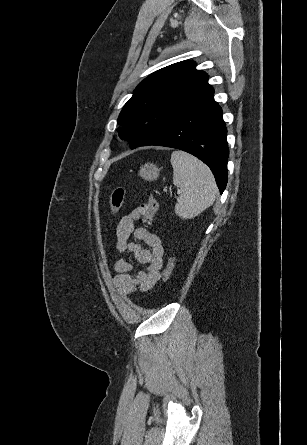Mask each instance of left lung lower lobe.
<instances>
[{
  "mask_svg": "<svg viewBox=\"0 0 307 445\" xmlns=\"http://www.w3.org/2000/svg\"><path fill=\"white\" fill-rule=\"evenodd\" d=\"M227 129L213 94L173 119L139 146L177 148L201 159L212 170L220 193L227 184Z\"/></svg>",
  "mask_w": 307,
  "mask_h": 445,
  "instance_id": "obj_1",
  "label": "left lung lower lobe"
}]
</instances>
